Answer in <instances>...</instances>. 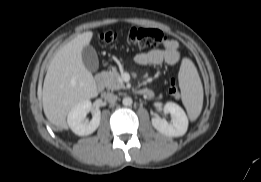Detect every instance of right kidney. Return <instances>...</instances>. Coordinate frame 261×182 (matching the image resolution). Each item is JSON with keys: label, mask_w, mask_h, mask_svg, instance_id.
I'll list each match as a JSON object with an SVG mask.
<instances>
[{"label": "right kidney", "mask_w": 261, "mask_h": 182, "mask_svg": "<svg viewBox=\"0 0 261 182\" xmlns=\"http://www.w3.org/2000/svg\"><path fill=\"white\" fill-rule=\"evenodd\" d=\"M92 103L85 100L75 105L69 112L67 122L70 129L79 136L92 134L100 125L101 112L99 109L93 111L91 121H85L87 113L91 111Z\"/></svg>", "instance_id": "obj_1"}]
</instances>
